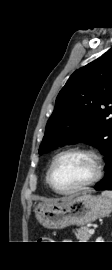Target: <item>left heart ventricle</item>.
Here are the masks:
<instances>
[{
    "mask_svg": "<svg viewBox=\"0 0 112 270\" xmlns=\"http://www.w3.org/2000/svg\"><path fill=\"white\" fill-rule=\"evenodd\" d=\"M94 171L93 161L88 156L67 154L56 162L52 180L58 189L69 190L90 180Z\"/></svg>",
    "mask_w": 112,
    "mask_h": 270,
    "instance_id": "left-heart-ventricle-1",
    "label": "left heart ventricle"
}]
</instances>
